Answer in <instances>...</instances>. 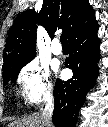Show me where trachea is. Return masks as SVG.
Segmentation results:
<instances>
[{
  "label": "trachea",
  "mask_w": 108,
  "mask_h": 127,
  "mask_svg": "<svg viewBox=\"0 0 108 127\" xmlns=\"http://www.w3.org/2000/svg\"><path fill=\"white\" fill-rule=\"evenodd\" d=\"M60 41H61V44H62V45H68V41H67L66 34L63 33V34L61 35Z\"/></svg>",
  "instance_id": "trachea-1"
}]
</instances>
